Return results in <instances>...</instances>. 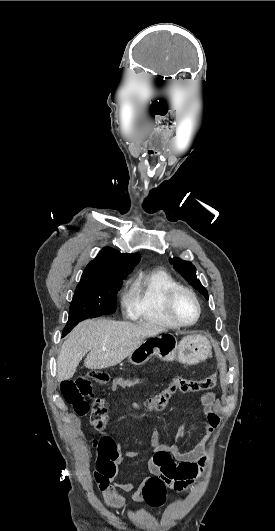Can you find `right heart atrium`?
Returning a JSON list of instances; mask_svg holds the SVG:
<instances>
[{
  "mask_svg": "<svg viewBox=\"0 0 275 531\" xmlns=\"http://www.w3.org/2000/svg\"><path fill=\"white\" fill-rule=\"evenodd\" d=\"M121 303L127 313H132L135 307V289L130 283H126L123 289Z\"/></svg>",
  "mask_w": 275,
  "mask_h": 531,
  "instance_id": "1",
  "label": "right heart atrium"
}]
</instances>
